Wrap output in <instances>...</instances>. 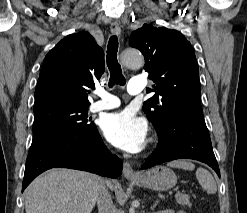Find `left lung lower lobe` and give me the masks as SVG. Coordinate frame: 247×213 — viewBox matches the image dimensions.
<instances>
[{
    "mask_svg": "<svg viewBox=\"0 0 247 213\" xmlns=\"http://www.w3.org/2000/svg\"><path fill=\"white\" fill-rule=\"evenodd\" d=\"M159 143L142 169L175 159H194L208 164L220 177L203 117L179 114L157 131Z\"/></svg>",
    "mask_w": 247,
    "mask_h": 213,
    "instance_id": "0a47b994",
    "label": "left lung lower lobe"
}]
</instances>
